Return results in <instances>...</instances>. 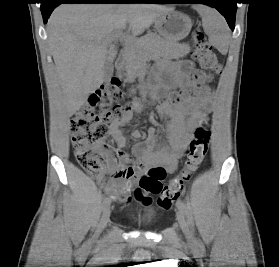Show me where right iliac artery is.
<instances>
[{
    "label": "right iliac artery",
    "mask_w": 279,
    "mask_h": 267,
    "mask_svg": "<svg viewBox=\"0 0 279 267\" xmlns=\"http://www.w3.org/2000/svg\"><path fill=\"white\" fill-rule=\"evenodd\" d=\"M111 203V199L109 197H106L103 201V209L107 208Z\"/></svg>",
    "instance_id": "right-iliac-artery-1"
}]
</instances>
